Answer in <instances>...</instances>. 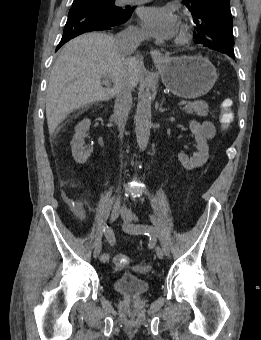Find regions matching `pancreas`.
<instances>
[{
  "label": "pancreas",
  "instance_id": "1",
  "mask_svg": "<svg viewBox=\"0 0 261 340\" xmlns=\"http://www.w3.org/2000/svg\"><path fill=\"white\" fill-rule=\"evenodd\" d=\"M182 110L188 114H196L198 116H207L209 112L208 104L205 101L186 102Z\"/></svg>",
  "mask_w": 261,
  "mask_h": 340
}]
</instances>
